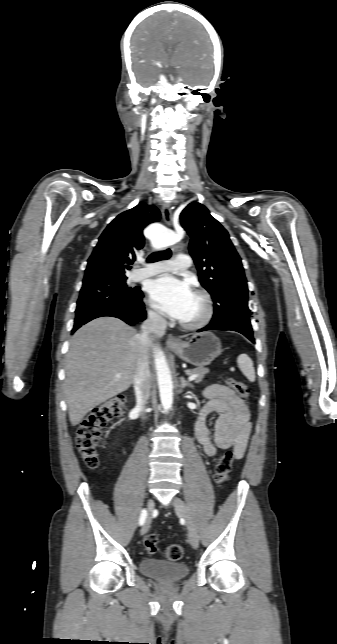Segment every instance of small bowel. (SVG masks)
<instances>
[{
    "label": "small bowel",
    "mask_w": 337,
    "mask_h": 644,
    "mask_svg": "<svg viewBox=\"0 0 337 644\" xmlns=\"http://www.w3.org/2000/svg\"><path fill=\"white\" fill-rule=\"evenodd\" d=\"M206 403L195 424V438L206 456L213 458L219 449L233 448L235 459H241L247 449L252 425L249 410L235 392L214 384L204 391ZM217 413L213 432L206 425V418Z\"/></svg>",
    "instance_id": "obj_1"
}]
</instances>
